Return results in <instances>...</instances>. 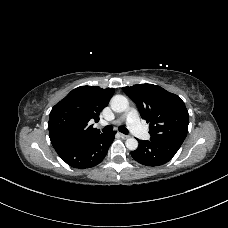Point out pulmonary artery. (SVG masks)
I'll use <instances>...</instances> for the list:
<instances>
[{
	"instance_id": "1",
	"label": "pulmonary artery",
	"mask_w": 228,
	"mask_h": 228,
	"mask_svg": "<svg viewBox=\"0 0 228 228\" xmlns=\"http://www.w3.org/2000/svg\"><path fill=\"white\" fill-rule=\"evenodd\" d=\"M125 120L128 128L140 139L148 140L150 134L147 129L141 124L137 111L130 109L120 120Z\"/></svg>"
}]
</instances>
